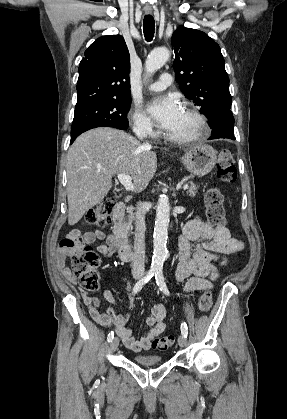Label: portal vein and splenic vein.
<instances>
[{
  "label": "portal vein and splenic vein",
  "mask_w": 287,
  "mask_h": 419,
  "mask_svg": "<svg viewBox=\"0 0 287 419\" xmlns=\"http://www.w3.org/2000/svg\"><path fill=\"white\" fill-rule=\"evenodd\" d=\"M117 177H118V180L120 181V183L126 188V190H128V191H133L134 190V185H133V183L131 181L132 179L129 175L119 173L117 175ZM187 188H188V184H185L183 186V190L185 191V190H187Z\"/></svg>",
  "instance_id": "portal-vein-and-splenic-vein-1"
}]
</instances>
